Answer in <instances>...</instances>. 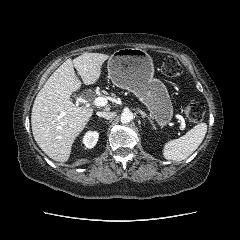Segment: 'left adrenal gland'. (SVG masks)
Returning <instances> with one entry per match:
<instances>
[{
	"label": "left adrenal gland",
	"mask_w": 240,
	"mask_h": 240,
	"mask_svg": "<svg viewBox=\"0 0 240 240\" xmlns=\"http://www.w3.org/2000/svg\"><path fill=\"white\" fill-rule=\"evenodd\" d=\"M139 113L142 115V118H147L150 122V124L152 125L153 128H155L154 124H153V120L151 119V117H149L145 112H143L142 110H139Z\"/></svg>",
	"instance_id": "left-adrenal-gland-1"
}]
</instances>
